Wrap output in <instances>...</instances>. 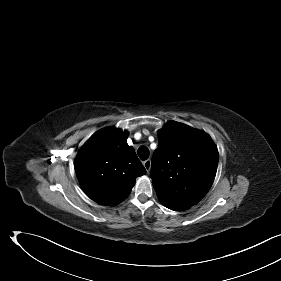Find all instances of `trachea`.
I'll list each match as a JSON object with an SVG mask.
<instances>
[{"label":"trachea","mask_w":281,"mask_h":281,"mask_svg":"<svg viewBox=\"0 0 281 281\" xmlns=\"http://www.w3.org/2000/svg\"><path fill=\"white\" fill-rule=\"evenodd\" d=\"M138 156L141 157L142 160H146L149 157V149L146 146H141L137 150Z\"/></svg>","instance_id":"1"}]
</instances>
